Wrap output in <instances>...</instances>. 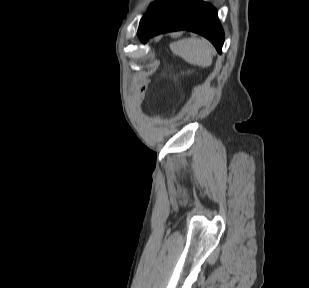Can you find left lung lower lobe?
Wrapping results in <instances>:
<instances>
[{"instance_id":"0a47b994","label":"left lung lower lobe","mask_w":309,"mask_h":288,"mask_svg":"<svg viewBox=\"0 0 309 288\" xmlns=\"http://www.w3.org/2000/svg\"><path fill=\"white\" fill-rule=\"evenodd\" d=\"M189 30L209 39L221 53L224 32L217 11L202 0H159L138 29L143 43L160 33Z\"/></svg>"}]
</instances>
